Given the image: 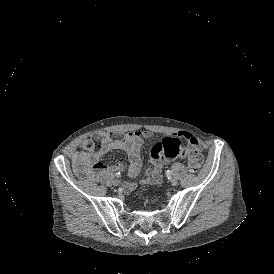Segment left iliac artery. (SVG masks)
Returning a JSON list of instances; mask_svg holds the SVG:
<instances>
[{"mask_svg":"<svg viewBox=\"0 0 274 274\" xmlns=\"http://www.w3.org/2000/svg\"><path fill=\"white\" fill-rule=\"evenodd\" d=\"M165 174H166V176L169 179L171 177V175H172V171L171 170H167Z\"/></svg>","mask_w":274,"mask_h":274,"instance_id":"left-iliac-artery-1","label":"left iliac artery"}]
</instances>
